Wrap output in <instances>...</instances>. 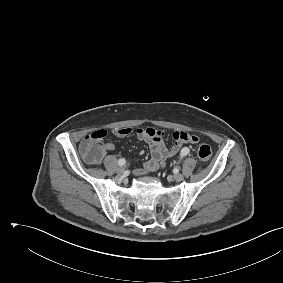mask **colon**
Here are the masks:
<instances>
[{
	"label": "colon",
	"mask_w": 283,
	"mask_h": 283,
	"mask_svg": "<svg viewBox=\"0 0 283 283\" xmlns=\"http://www.w3.org/2000/svg\"><path fill=\"white\" fill-rule=\"evenodd\" d=\"M106 135L105 130H98L83 138L80 143V151L88 162L95 164L101 160L104 153L102 140ZM197 155L201 161L207 162L212 155L211 147L201 144L198 147Z\"/></svg>",
	"instance_id": "colon-1"
}]
</instances>
